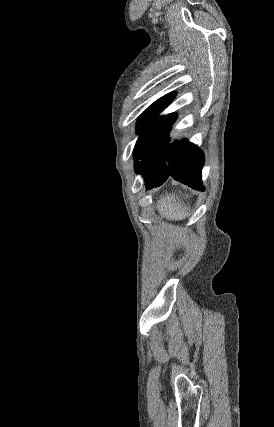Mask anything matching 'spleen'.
Instances as JSON below:
<instances>
[{"instance_id": "spleen-1", "label": "spleen", "mask_w": 274, "mask_h": 427, "mask_svg": "<svg viewBox=\"0 0 274 427\" xmlns=\"http://www.w3.org/2000/svg\"><path fill=\"white\" fill-rule=\"evenodd\" d=\"M178 198L172 194H166L164 198L158 200L157 208L167 219H184L187 217L189 208H184L182 202H177Z\"/></svg>"}]
</instances>
